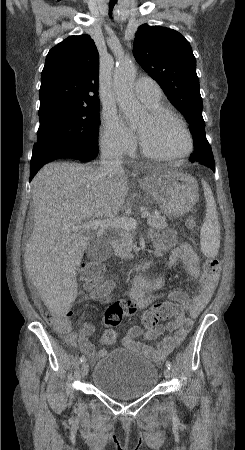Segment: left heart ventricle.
<instances>
[{"label": "left heart ventricle", "instance_id": "1", "mask_svg": "<svg viewBox=\"0 0 245 450\" xmlns=\"http://www.w3.org/2000/svg\"><path fill=\"white\" fill-rule=\"evenodd\" d=\"M137 132L144 146L159 155H179L188 147L186 134L169 118L155 121L148 115L138 125Z\"/></svg>", "mask_w": 245, "mask_h": 450}]
</instances>
